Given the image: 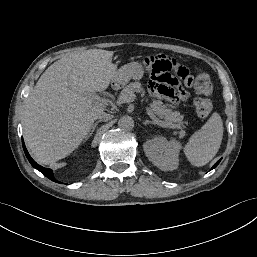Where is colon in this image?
<instances>
[{"instance_id": "5ec220e1", "label": "colon", "mask_w": 257, "mask_h": 257, "mask_svg": "<svg viewBox=\"0 0 257 257\" xmlns=\"http://www.w3.org/2000/svg\"><path fill=\"white\" fill-rule=\"evenodd\" d=\"M191 85L199 95L194 101L195 111L200 117L205 118L212 111V102L209 99L213 90L212 80L208 73L198 70Z\"/></svg>"}]
</instances>
